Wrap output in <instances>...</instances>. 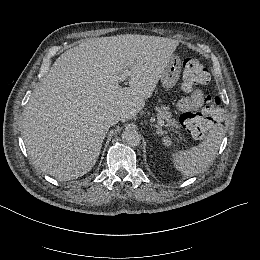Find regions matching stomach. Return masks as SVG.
<instances>
[{
	"mask_svg": "<svg viewBox=\"0 0 260 260\" xmlns=\"http://www.w3.org/2000/svg\"><path fill=\"white\" fill-rule=\"evenodd\" d=\"M182 62L178 58H171L167 62V68L164 74L161 76L162 87L170 91L177 84L181 75Z\"/></svg>",
	"mask_w": 260,
	"mask_h": 260,
	"instance_id": "stomach-1",
	"label": "stomach"
}]
</instances>
